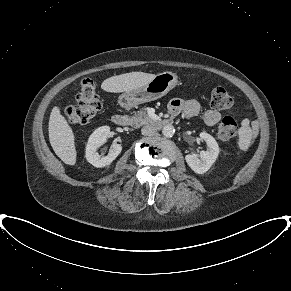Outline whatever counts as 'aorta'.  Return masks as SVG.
I'll return each instance as SVG.
<instances>
[{
  "label": "aorta",
  "instance_id": "obj_1",
  "mask_svg": "<svg viewBox=\"0 0 291 291\" xmlns=\"http://www.w3.org/2000/svg\"><path fill=\"white\" fill-rule=\"evenodd\" d=\"M162 133L165 137H172L175 133V128L172 125H165L162 129Z\"/></svg>",
  "mask_w": 291,
  "mask_h": 291
}]
</instances>
